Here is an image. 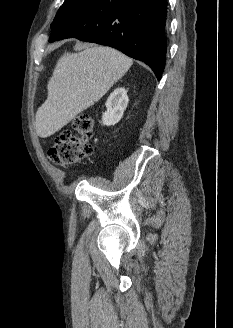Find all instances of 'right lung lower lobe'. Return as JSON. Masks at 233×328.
Segmentation results:
<instances>
[{
    "mask_svg": "<svg viewBox=\"0 0 233 328\" xmlns=\"http://www.w3.org/2000/svg\"><path fill=\"white\" fill-rule=\"evenodd\" d=\"M166 16L167 0H94L53 24L50 42L74 37L114 47L145 62L160 80Z\"/></svg>",
    "mask_w": 233,
    "mask_h": 328,
    "instance_id": "1",
    "label": "right lung lower lobe"
}]
</instances>
